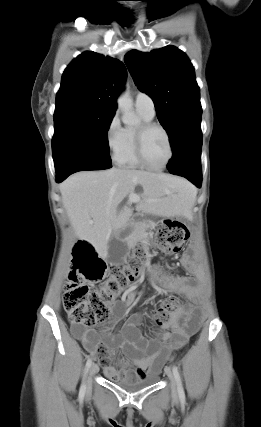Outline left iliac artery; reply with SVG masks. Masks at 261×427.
Masks as SVG:
<instances>
[{
  "label": "left iliac artery",
  "instance_id": "1",
  "mask_svg": "<svg viewBox=\"0 0 261 427\" xmlns=\"http://www.w3.org/2000/svg\"><path fill=\"white\" fill-rule=\"evenodd\" d=\"M172 371H173V374H174L176 382H177V389H178L179 397L181 400H184L185 399V393H184V389L182 386V382H181V378L179 375L178 368L176 366H173Z\"/></svg>",
  "mask_w": 261,
  "mask_h": 427
}]
</instances>
